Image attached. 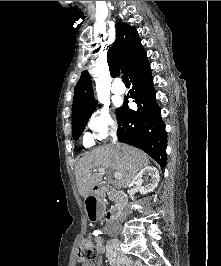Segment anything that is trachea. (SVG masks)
<instances>
[{"label": "trachea", "instance_id": "obj_1", "mask_svg": "<svg viewBox=\"0 0 221 266\" xmlns=\"http://www.w3.org/2000/svg\"><path fill=\"white\" fill-rule=\"evenodd\" d=\"M122 81L124 82V84H130V81L127 75L122 76Z\"/></svg>", "mask_w": 221, "mask_h": 266}]
</instances>
